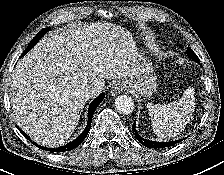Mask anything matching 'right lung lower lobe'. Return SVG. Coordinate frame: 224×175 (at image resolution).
Instances as JSON below:
<instances>
[{
    "mask_svg": "<svg viewBox=\"0 0 224 175\" xmlns=\"http://www.w3.org/2000/svg\"><path fill=\"white\" fill-rule=\"evenodd\" d=\"M36 44V41L31 42L30 45H28V47L26 48V50L24 51V53L22 54V56H24L27 52H29L34 45ZM105 95L102 93L101 95H99L89 106L88 108V121H87V126L85 128V130L72 142L66 144L65 146H61L58 148H46L43 146H40L34 142H32V140L29 138V136H27L26 133H24L22 130H20V132L30 141L32 142L34 145H36L37 147L43 149V150H47V151H51V152H65V151H70L74 148H76L78 145H80L83 140L86 138L90 128H91V123H92V117L93 114L96 110V108L98 107V105L102 102V100L104 99Z\"/></svg>",
    "mask_w": 224,
    "mask_h": 175,
    "instance_id": "1",
    "label": "right lung lower lobe"
}]
</instances>
